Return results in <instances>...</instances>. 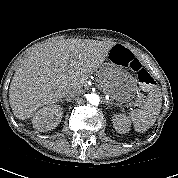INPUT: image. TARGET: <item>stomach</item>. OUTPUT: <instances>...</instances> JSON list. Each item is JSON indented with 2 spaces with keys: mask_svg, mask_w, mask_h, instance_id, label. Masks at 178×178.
<instances>
[{
  "mask_svg": "<svg viewBox=\"0 0 178 178\" xmlns=\"http://www.w3.org/2000/svg\"><path fill=\"white\" fill-rule=\"evenodd\" d=\"M116 46L110 49L106 62L99 68L98 79L111 98L123 104L137 96L138 86L136 79L127 70L129 62L124 52L114 53Z\"/></svg>",
  "mask_w": 178,
  "mask_h": 178,
  "instance_id": "1",
  "label": "stomach"
}]
</instances>
